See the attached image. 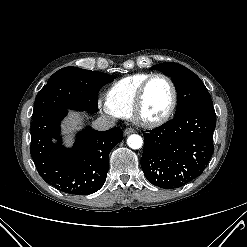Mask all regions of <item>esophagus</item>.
I'll list each match as a JSON object with an SVG mask.
<instances>
[{"label": "esophagus", "mask_w": 247, "mask_h": 247, "mask_svg": "<svg viewBox=\"0 0 247 247\" xmlns=\"http://www.w3.org/2000/svg\"><path fill=\"white\" fill-rule=\"evenodd\" d=\"M134 132H135V130L133 128H126L124 130V136H128V135H130V134H132Z\"/></svg>", "instance_id": "1"}]
</instances>
